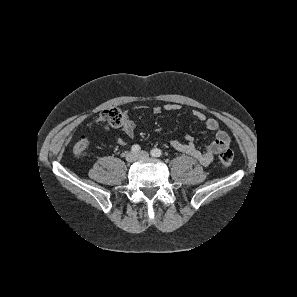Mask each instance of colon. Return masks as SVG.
<instances>
[{"instance_id": "colon-1", "label": "colon", "mask_w": 297, "mask_h": 297, "mask_svg": "<svg viewBox=\"0 0 297 297\" xmlns=\"http://www.w3.org/2000/svg\"><path fill=\"white\" fill-rule=\"evenodd\" d=\"M100 119L113 127H119L124 122V114L119 108L104 110L100 114ZM89 149V139L86 136H80L73 147L74 154L77 157L87 155ZM234 154L230 149H225L219 154V164L222 168H228L233 162Z\"/></svg>"}]
</instances>
